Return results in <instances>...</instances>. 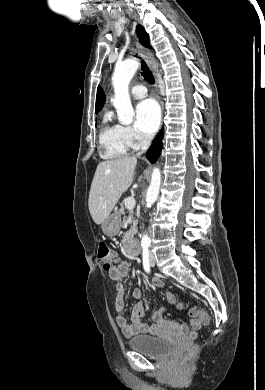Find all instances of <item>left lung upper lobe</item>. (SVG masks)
Listing matches in <instances>:
<instances>
[{
	"mask_svg": "<svg viewBox=\"0 0 265 390\" xmlns=\"http://www.w3.org/2000/svg\"><path fill=\"white\" fill-rule=\"evenodd\" d=\"M136 32H137L138 37L140 38L141 44H143L144 46L148 47L149 46V36L145 32L144 27L141 26V25H138L137 29H136Z\"/></svg>",
	"mask_w": 265,
	"mask_h": 390,
	"instance_id": "1",
	"label": "left lung upper lobe"
}]
</instances>
